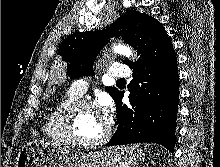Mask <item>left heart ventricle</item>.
Segmentation results:
<instances>
[{
  "mask_svg": "<svg viewBox=\"0 0 220 167\" xmlns=\"http://www.w3.org/2000/svg\"><path fill=\"white\" fill-rule=\"evenodd\" d=\"M105 127L106 121L98 110L82 108L75 116L73 131L78 139L92 141L101 137Z\"/></svg>",
  "mask_w": 220,
  "mask_h": 167,
  "instance_id": "1",
  "label": "left heart ventricle"
}]
</instances>
